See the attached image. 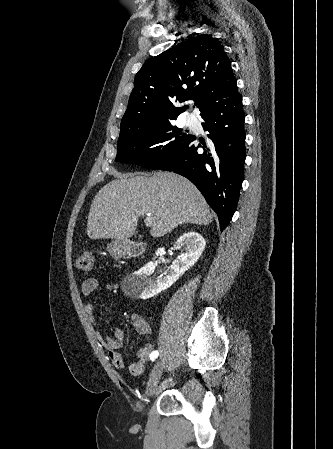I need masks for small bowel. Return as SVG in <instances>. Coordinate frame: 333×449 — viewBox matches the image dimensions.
I'll list each match as a JSON object with an SVG mask.
<instances>
[{"label": "small bowel", "instance_id": "c3829d8e", "mask_svg": "<svg viewBox=\"0 0 333 449\" xmlns=\"http://www.w3.org/2000/svg\"><path fill=\"white\" fill-rule=\"evenodd\" d=\"M99 283L95 278H88L83 281L81 290L82 293L87 296H93L98 290ZM85 312L93 325H97V320L94 315V306L91 302L86 303ZM131 324L137 333L141 335H149L151 333V326L146 319L138 313L131 315ZM97 339L101 345L107 350L109 361L113 366L119 369L125 367V361L119 352L125 344V334L120 328H116L112 337L103 335L101 332H97ZM154 351V344L147 343L137 351L136 359L129 365V372L133 376H138L143 372L144 365L149 360L151 353Z\"/></svg>", "mask_w": 333, "mask_h": 449}]
</instances>
